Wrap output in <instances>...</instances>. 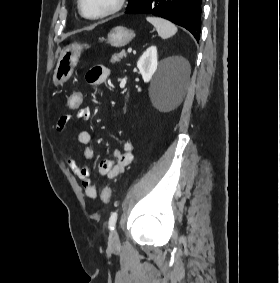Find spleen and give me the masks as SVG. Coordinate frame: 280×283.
Returning <instances> with one entry per match:
<instances>
[{
    "label": "spleen",
    "mask_w": 280,
    "mask_h": 283,
    "mask_svg": "<svg viewBox=\"0 0 280 283\" xmlns=\"http://www.w3.org/2000/svg\"><path fill=\"white\" fill-rule=\"evenodd\" d=\"M146 19L155 27L162 39L172 37L177 32V27L166 19L160 17H147Z\"/></svg>",
    "instance_id": "1"
}]
</instances>
